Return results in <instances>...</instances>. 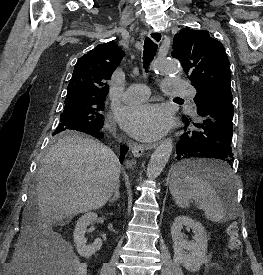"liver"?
Segmentation results:
<instances>
[{
    "instance_id": "obj_1",
    "label": "liver",
    "mask_w": 263,
    "mask_h": 275,
    "mask_svg": "<svg viewBox=\"0 0 263 275\" xmlns=\"http://www.w3.org/2000/svg\"><path fill=\"white\" fill-rule=\"evenodd\" d=\"M120 172L118 157L106 145L78 135L63 136L49 149L37 174L39 225L51 227L103 207Z\"/></svg>"
}]
</instances>
